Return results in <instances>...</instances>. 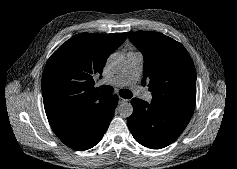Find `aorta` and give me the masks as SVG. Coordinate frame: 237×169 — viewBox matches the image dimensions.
<instances>
[{
    "label": "aorta",
    "instance_id": "762f6f07",
    "mask_svg": "<svg viewBox=\"0 0 237 169\" xmlns=\"http://www.w3.org/2000/svg\"><path fill=\"white\" fill-rule=\"evenodd\" d=\"M108 63L114 72H118L123 69L125 60L121 54H112L108 60ZM133 108L128 103H122L118 107V114L120 117L127 118L132 114Z\"/></svg>",
    "mask_w": 237,
    "mask_h": 169
}]
</instances>
